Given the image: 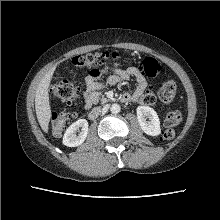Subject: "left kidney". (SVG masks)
I'll list each match as a JSON object with an SVG mask.
<instances>
[{
  "label": "left kidney",
  "mask_w": 220,
  "mask_h": 220,
  "mask_svg": "<svg viewBox=\"0 0 220 220\" xmlns=\"http://www.w3.org/2000/svg\"><path fill=\"white\" fill-rule=\"evenodd\" d=\"M137 119L144 133L150 136H158L161 133L160 121L156 111L148 106L137 107ZM149 119L147 122L146 119Z\"/></svg>",
  "instance_id": "1"
}]
</instances>
